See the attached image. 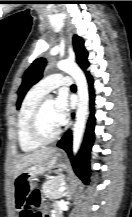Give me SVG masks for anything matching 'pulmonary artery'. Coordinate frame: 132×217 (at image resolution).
Wrapping results in <instances>:
<instances>
[{
    "mask_svg": "<svg viewBox=\"0 0 132 217\" xmlns=\"http://www.w3.org/2000/svg\"><path fill=\"white\" fill-rule=\"evenodd\" d=\"M71 80L69 77H65L61 74H53L45 77L36 84V87L44 92L45 94L49 93L53 89L65 85H70Z\"/></svg>",
    "mask_w": 132,
    "mask_h": 217,
    "instance_id": "obj_1",
    "label": "pulmonary artery"
}]
</instances>
